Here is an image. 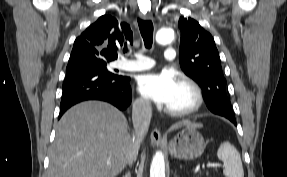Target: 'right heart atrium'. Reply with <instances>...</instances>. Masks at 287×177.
I'll use <instances>...</instances> for the list:
<instances>
[{
	"mask_svg": "<svg viewBox=\"0 0 287 177\" xmlns=\"http://www.w3.org/2000/svg\"><path fill=\"white\" fill-rule=\"evenodd\" d=\"M148 107H149V104L145 99H143V98L137 99L136 108L138 111L145 112L146 110H148Z\"/></svg>",
	"mask_w": 287,
	"mask_h": 177,
	"instance_id": "1",
	"label": "right heart atrium"
}]
</instances>
